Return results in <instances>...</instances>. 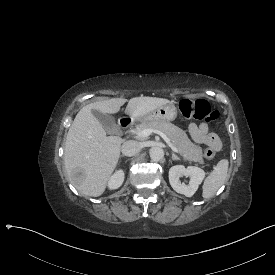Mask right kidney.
<instances>
[{
	"label": "right kidney",
	"instance_id": "ca27d5eb",
	"mask_svg": "<svg viewBox=\"0 0 275 275\" xmlns=\"http://www.w3.org/2000/svg\"><path fill=\"white\" fill-rule=\"evenodd\" d=\"M124 181V172L123 170H117L108 181V188L110 190L119 188Z\"/></svg>",
	"mask_w": 275,
	"mask_h": 275
}]
</instances>
